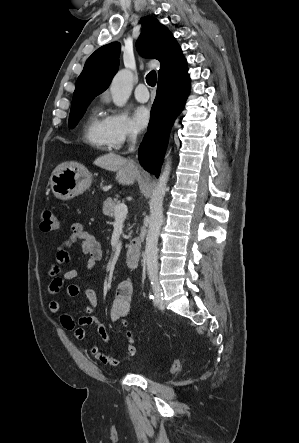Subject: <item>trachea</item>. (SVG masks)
<instances>
[{
  "mask_svg": "<svg viewBox=\"0 0 299 443\" xmlns=\"http://www.w3.org/2000/svg\"><path fill=\"white\" fill-rule=\"evenodd\" d=\"M146 82L149 86L154 87L157 82V74L155 70L150 71L146 76Z\"/></svg>",
  "mask_w": 299,
  "mask_h": 443,
  "instance_id": "obj_1",
  "label": "trachea"
}]
</instances>
